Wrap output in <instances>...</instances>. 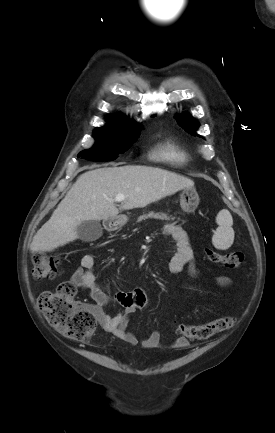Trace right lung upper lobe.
<instances>
[{"label": "right lung upper lobe", "mask_w": 275, "mask_h": 433, "mask_svg": "<svg viewBox=\"0 0 275 433\" xmlns=\"http://www.w3.org/2000/svg\"><path fill=\"white\" fill-rule=\"evenodd\" d=\"M127 124H136L132 121H130L129 119L123 118V117H118L113 119V122L110 123V125H127Z\"/></svg>", "instance_id": "cb5924a9"}]
</instances>
